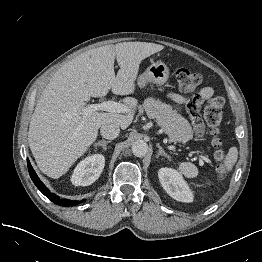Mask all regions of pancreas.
Listing matches in <instances>:
<instances>
[{
  "instance_id": "cf45deb5",
  "label": "pancreas",
  "mask_w": 262,
  "mask_h": 262,
  "mask_svg": "<svg viewBox=\"0 0 262 262\" xmlns=\"http://www.w3.org/2000/svg\"><path fill=\"white\" fill-rule=\"evenodd\" d=\"M143 108L147 116L156 121L171 141L186 142L191 138L189 122L176 114L170 106L154 98H147L143 103Z\"/></svg>"
}]
</instances>
